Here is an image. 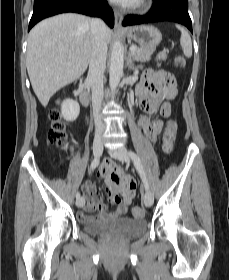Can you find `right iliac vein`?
I'll list each match as a JSON object with an SVG mask.
<instances>
[{
	"label": "right iliac vein",
	"mask_w": 229,
	"mask_h": 280,
	"mask_svg": "<svg viewBox=\"0 0 229 280\" xmlns=\"http://www.w3.org/2000/svg\"><path fill=\"white\" fill-rule=\"evenodd\" d=\"M103 152V143L100 140H95L93 143V153L95 157H99ZM85 204V199L83 197L76 200V206L82 208Z\"/></svg>",
	"instance_id": "1"
}]
</instances>
